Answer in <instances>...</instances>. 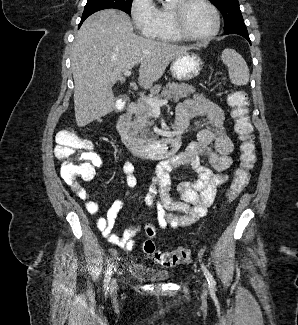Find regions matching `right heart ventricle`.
I'll list each match as a JSON object with an SVG mask.
<instances>
[{
    "instance_id": "right-heart-ventricle-1",
    "label": "right heart ventricle",
    "mask_w": 298,
    "mask_h": 325,
    "mask_svg": "<svg viewBox=\"0 0 298 325\" xmlns=\"http://www.w3.org/2000/svg\"><path fill=\"white\" fill-rule=\"evenodd\" d=\"M166 4L162 3L155 7V23L160 25L164 30L163 41H179L169 28V16L166 10Z\"/></svg>"
}]
</instances>
